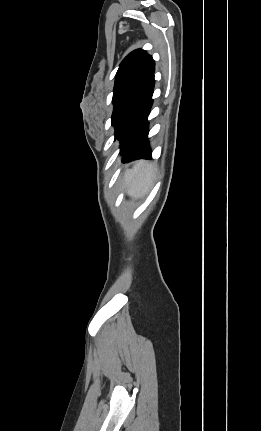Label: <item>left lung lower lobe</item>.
<instances>
[{"instance_id":"0a47b994","label":"left lung lower lobe","mask_w":261,"mask_h":431,"mask_svg":"<svg viewBox=\"0 0 261 431\" xmlns=\"http://www.w3.org/2000/svg\"><path fill=\"white\" fill-rule=\"evenodd\" d=\"M154 74L147 80L127 108L117 132L122 162L151 159L148 145V115L153 103Z\"/></svg>"}]
</instances>
